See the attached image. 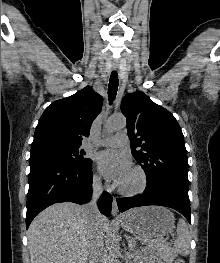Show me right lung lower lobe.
<instances>
[{
	"label": "right lung lower lobe",
	"mask_w": 220,
	"mask_h": 263,
	"mask_svg": "<svg viewBox=\"0 0 220 263\" xmlns=\"http://www.w3.org/2000/svg\"><path fill=\"white\" fill-rule=\"evenodd\" d=\"M92 194V162L74 166L43 157H30L26 228L34 217L57 202L87 203ZM112 196L103 192L98 201L102 214L111 213Z\"/></svg>",
	"instance_id": "98d812e1"
}]
</instances>
